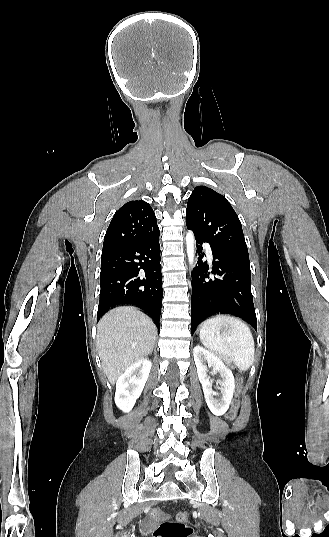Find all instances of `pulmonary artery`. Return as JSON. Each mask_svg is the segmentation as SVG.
<instances>
[{
	"instance_id": "pulmonary-artery-1",
	"label": "pulmonary artery",
	"mask_w": 329,
	"mask_h": 537,
	"mask_svg": "<svg viewBox=\"0 0 329 537\" xmlns=\"http://www.w3.org/2000/svg\"><path fill=\"white\" fill-rule=\"evenodd\" d=\"M205 246H206V248H207L208 252H209V253H211V248H210V246H209V245H207V244H206Z\"/></svg>"
}]
</instances>
